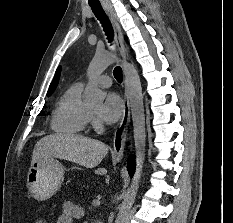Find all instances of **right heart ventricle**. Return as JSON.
I'll return each mask as SVG.
<instances>
[{
	"instance_id": "1",
	"label": "right heart ventricle",
	"mask_w": 233,
	"mask_h": 223,
	"mask_svg": "<svg viewBox=\"0 0 233 223\" xmlns=\"http://www.w3.org/2000/svg\"><path fill=\"white\" fill-rule=\"evenodd\" d=\"M82 85L67 87L57 100L50 118L51 129L59 134L74 135L84 131L89 111L81 98Z\"/></svg>"
}]
</instances>
